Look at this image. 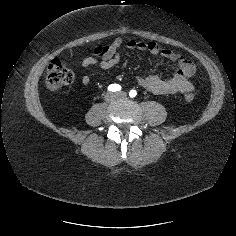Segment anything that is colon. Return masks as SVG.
<instances>
[{"label": "colon", "mask_w": 236, "mask_h": 236, "mask_svg": "<svg viewBox=\"0 0 236 236\" xmlns=\"http://www.w3.org/2000/svg\"><path fill=\"white\" fill-rule=\"evenodd\" d=\"M73 79V72L68 69L62 61L56 59L49 64L46 73V85L49 89L58 90L71 84ZM193 99V94L187 93L185 95L186 101L191 102Z\"/></svg>", "instance_id": "5ec220e1"}]
</instances>
